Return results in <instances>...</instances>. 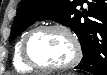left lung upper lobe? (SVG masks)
I'll list each match as a JSON object with an SVG mask.
<instances>
[{
	"instance_id": "left-lung-upper-lobe-1",
	"label": "left lung upper lobe",
	"mask_w": 107,
	"mask_h": 75,
	"mask_svg": "<svg viewBox=\"0 0 107 75\" xmlns=\"http://www.w3.org/2000/svg\"><path fill=\"white\" fill-rule=\"evenodd\" d=\"M83 3L84 0H22L9 40H13L37 20L52 19L71 27L81 42L83 33L94 17L86 10H78ZM95 34L98 39H107V19L96 26Z\"/></svg>"
}]
</instances>
